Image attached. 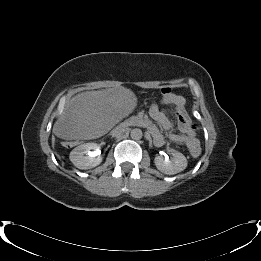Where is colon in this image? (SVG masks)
<instances>
[{
  "label": "colon",
  "mask_w": 261,
  "mask_h": 261,
  "mask_svg": "<svg viewBox=\"0 0 261 261\" xmlns=\"http://www.w3.org/2000/svg\"><path fill=\"white\" fill-rule=\"evenodd\" d=\"M160 94L162 97L167 98L170 96L171 91L169 88L164 87L161 89ZM169 102L171 105L177 107L174 109L173 114L175 117H177L178 126L180 128L181 133L186 137L191 136L193 133V130H192L193 125H192V121L190 119L189 113L184 111L185 103H184L183 99L176 95H173L170 97ZM64 144L66 146H70V143H64ZM188 149H189V153L194 157H196L200 154L199 145H194V144L190 145L188 147Z\"/></svg>",
  "instance_id": "1"
}]
</instances>
